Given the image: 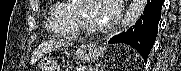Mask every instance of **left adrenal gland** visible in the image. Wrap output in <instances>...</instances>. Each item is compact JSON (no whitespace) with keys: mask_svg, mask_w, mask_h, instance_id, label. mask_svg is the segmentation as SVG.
Wrapping results in <instances>:
<instances>
[{"mask_svg":"<svg viewBox=\"0 0 181 71\" xmlns=\"http://www.w3.org/2000/svg\"><path fill=\"white\" fill-rule=\"evenodd\" d=\"M99 67H101L102 70L105 68V66H103L102 64H98V65L95 66V68L93 70L98 71Z\"/></svg>","mask_w":181,"mask_h":71,"instance_id":"obj_1","label":"left adrenal gland"}]
</instances>
